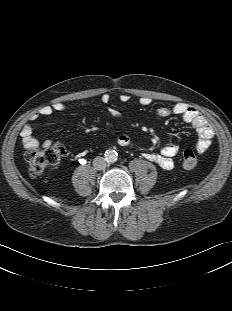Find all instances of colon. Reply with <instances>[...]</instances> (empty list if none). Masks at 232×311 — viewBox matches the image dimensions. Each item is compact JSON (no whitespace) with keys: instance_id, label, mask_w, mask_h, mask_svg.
<instances>
[{"instance_id":"1","label":"colon","mask_w":232,"mask_h":311,"mask_svg":"<svg viewBox=\"0 0 232 311\" xmlns=\"http://www.w3.org/2000/svg\"><path fill=\"white\" fill-rule=\"evenodd\" d=\"M66 155V148L62 144H53L44 148H35L27 151L26 162L28 164V173L36 177L47 169L59 163ZM183 166L192 169L197 165V156L192 149H186L182 154Z\"/></svg>"}]
</instances>
